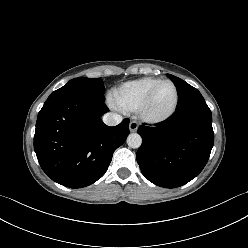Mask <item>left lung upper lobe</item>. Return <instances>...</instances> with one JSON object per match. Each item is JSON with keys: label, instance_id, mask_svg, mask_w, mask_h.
Here are the masks:
<instances>
[{"label": "left lung upper lobe", "instance_id": "left-lung-upper-lobe-1", "mask_svg": "<svg viewBox=\"0 0 248 248\" xmlns=\"http://www.w3.org/2000/svg\"><path fill=\"white\" fill-rule=\"evenodd\" d=\"M170 80L175 84L178 90V104L176 110L181 109L189 104H192L198 100H204L201 93L182 79L167 74Z\"/></svg>", "mask_w": 248, "mask_h": 248}]
</instances>
